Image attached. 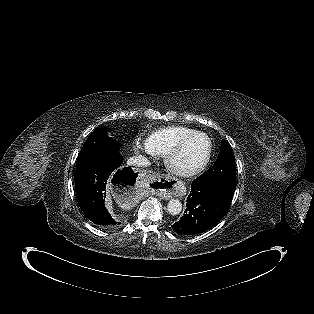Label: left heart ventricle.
<instances>
[{
    "mask_svg": "<svg viewBox=\"0 0 314 314\" xmlns=\"http://www.w3.org/2000/svg\"><path fill=\"white\" fill-rule=\"evenodd\" d=\"M207 151V140L202 136H196L187 142L184 150L176 159V165L183 169L194 168L203 162Z\"/></svg>",
    "mask_w": 314,
    "mask_h": 314,
    "instance_id": "left-heart-ventricle-1",
    "label": "left heart ventricle"
}]
</instances>
